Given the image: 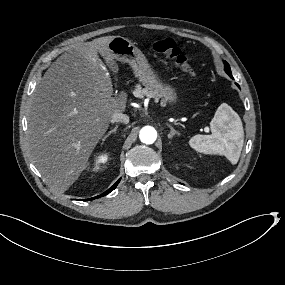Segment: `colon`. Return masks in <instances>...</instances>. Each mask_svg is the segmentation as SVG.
<instances>
[{
  "label": "colon",
  "instance_id": "obj_1",
  "mask_svg": "<svg viewBox=\"0 0 285 285\" xmlns=\"http://www.w3.org/2000/svg\"><path fill=\"white\" fill-rule=\"evenodd\" d=\"M154 52L159 53L173 61L184 72L196 75L195 69L188 63L187 57L183 54L176 42L171 38L156 40L151 43Z\"/></svg>",
  "mask_w": 285,
  "mask_h": 285
}]
</instances>
